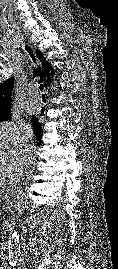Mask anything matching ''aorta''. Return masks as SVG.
<instances>
[{
    "mask_svg": "<svg viewBox=\"0 0 118 269\" xmlns=\"http://www.w3.org/2000/svg\"><path fill=\"white\" fill-rule=\"evenodd\" d=\"M27 205V196L22 190H18L14 196V206L19 215L22 214ZM9 251L18 252L20 250V235L14 230L9 237Z\"/></svg>",
    "mask_w": 118,
    "mask_h": 269,
    "instance_id": "1",
    "label": "aorta"
}]
</instances>
